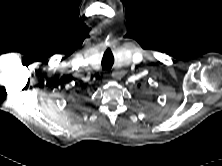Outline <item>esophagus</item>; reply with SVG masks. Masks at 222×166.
<instances>
[{
	"label": "esophagus",
	"instance_id": "1",
	"mask_svg": "<svg viewBox=\"0 0 222 166\" xmlns=\"http://www.w3.org/2000/svg\"><path fill=\"white\" fill-rule=\"evenodd\" d=\"M108 75H105V77H107ZM113 77H115L116 79H120L123 76L122 72H113L112 74ZM108 79H104V82H107Z\"/></svg>",
	"mask_w": 222,
	"mask_h": 166
}]
</instances>
